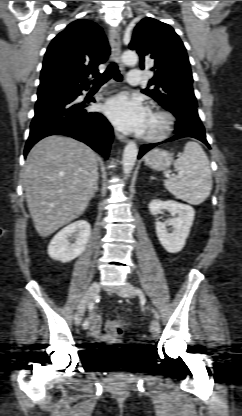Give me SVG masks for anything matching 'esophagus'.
Wrapping results in <instances>:
<instances>
[{
  "instance_id": "obj_1",
  "label": "esophagus",
  "mask_w": 242,
  "mask_h": 416,
  "mask_svg": "<svg viewBox=\"0 0 242 416\" xmlns=\"http://www.w3.org/2000/svg\"><path fill=\"white\" fill-rule=\"evenodd\" d=\"M109 39L112 45V50H113V55L115 60L118 63H121L120 61V56H121V40L120 37L118 35V33L114 30V29H110L109 30ZM116 137L121 141V142H128L129 139L127 137H125L124 135L120 134L119 132H116Z\"/></svg>"
}]
</instances>
